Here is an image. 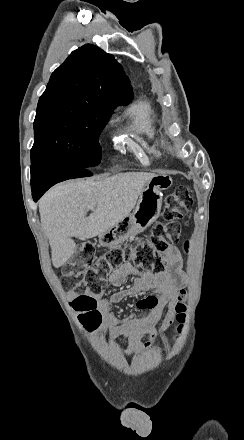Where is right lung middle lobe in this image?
<instances>
[{
	"label": "right lung middle lobe",
	"mask_w": 244,
	"mask_h": 440,
	"mask_svg": "<svg viewBox=\"0 0 244 440\" xmlns=\"http://www.w3.org/2000/svg\"><path fill=\"white\" fill-rule=\"evenodd\" d=\"M112 111L85 103H38L31 165L59 161L92 168L100 163L99 135Z\"/></svg>",
	"instance_id": "obj_1"
}]
</instances>
